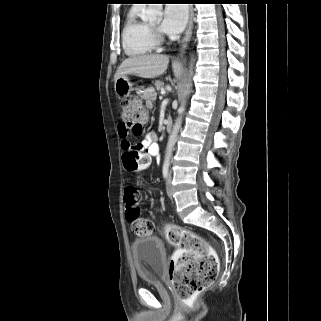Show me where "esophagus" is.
<instances>
[{"mask_svg":"<svg viewBox=\"0 0 321 321\" xmlns=\"http://www.w3.org/2000/svg\"><path fill=\"white\" fill-rule=\"evenodd\" d=\"M192 28H193V6L190 5L189 6V21H188L187 29L185 32V36L182 40L180 55L184 52V50L186 49V47L191 39Z\"/></svg>","mask_w":321,"mask_h":321,"instance_id":"34e87169","label":"esophagus"}]
</instances>
